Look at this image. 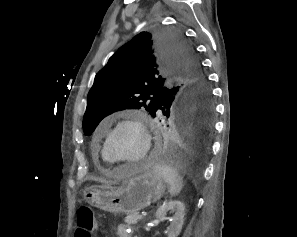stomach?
Returning <instances> with one entry per match:
<instances>
[{"label": "stomach", "mask_w": 297, "mask_h": 237, "mask_svg": "<svg viewBox=\"0 0 297 237\" xmlns=\"http://www.w3.org/2000/svg\"><path fill=\"white\" fill-rule=\"evenodd\" d=\"M165 182L154 170L125 181L120 187H90L83 197L86 202L113 214H132L160 200L165 192Z\"/></svg>", "instance_id": "stomach-1"}]
</instances>
